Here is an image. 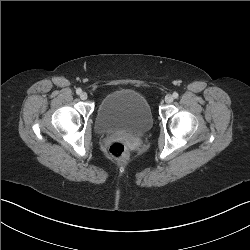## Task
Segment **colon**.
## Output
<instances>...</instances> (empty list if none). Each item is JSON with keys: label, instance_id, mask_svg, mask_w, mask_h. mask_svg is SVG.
Here are the masks:
<instances>
[{"label": "colon", "instance_id": "colon-1", "mask_svg": "<svg viewBox=\"0 0 250 250\" xmlns=\"http://www.w3.org/2000/svg\"><path fill=\"white\" fill-rule=\"evenodd\" d=\"M109 154L117 161H126L129 158V149L125 143L115 141L109 147Z\"/></svg>", "mask_w": 250, "mask_h": 250}]
</instances>
